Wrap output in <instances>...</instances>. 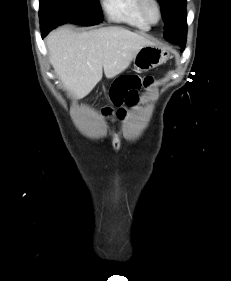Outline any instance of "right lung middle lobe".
I'll return each instance as SVG.
<instances>
[{"label":"right lung middle lobe","mask_w":231,"mask_h":281,"mask_svg":"<svg viewBox=\"0 0 231 281\" xmlns=\"http://www.w3.org/2000/svg\"><path fill=\"white\" fill-rule=\"evenodd\" d=\"M39 4L43 27H57L67 22L89 26L103 20L98 0H40Z\"/></svg>","instance_id":"obj_1"}]
</instances>
